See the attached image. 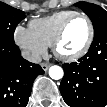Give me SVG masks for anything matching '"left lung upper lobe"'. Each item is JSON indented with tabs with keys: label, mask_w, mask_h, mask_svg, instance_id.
<instances>
[{
	"label": "left lung upper lobe",
	"mask_w": 107,
	"mask_h": 107,
	"mask_svg": "<svg viewBox=\"0 0 107 107\" xmlns=\"http://www.w3.org/2000/svg\"><path fill=\"white\" fill-rule=\"evenodd\" d=\"M75 6L81 8L91 19L94 26V35L107 30V11L98 5L78 2Z\"/></svg>",
	"instance_id": "5c2ea615"
}]
</instances>
